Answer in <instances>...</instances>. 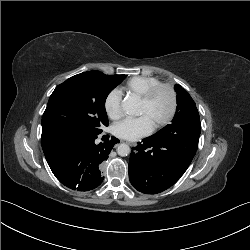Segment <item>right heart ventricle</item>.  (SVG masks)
I'll return each mask as SVG.
<instances>
[{"label":"right heart ventricle","instance_id":"right-heart-ventricle-1","mask_svg":"<svg viewBox=\"0 0 250 250\" xmlns=\"http://www.w3.org/2000/svg\"><path fill=\"white\" fill-rule=\"evenodd\" d=\"M161 81L151 76H134L128 79L121 87L122 91L141 97L150 88L160 84Z\"/></svg>","mask_w":250,"mask_h":250}]
</instances>
